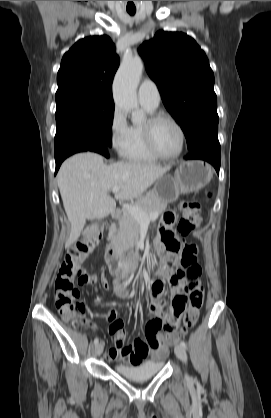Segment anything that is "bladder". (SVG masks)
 Instances as JSON below:
<instances>
[{
	"label": "bladder",
	"instance_id": "1",
	"mask_svg": "<svg viewBox=\"0 0 271 418\" xmlns=\"http://www.w3.org/2000/svg\"><path fill=\"white\" fill-rule=\"evenodd\" d=\"M163 365L164 363L162 360L145 361L137 365L120 363L115 366V371L128 380L143 382L157 375L162 370Z\"/></svg>",
	"mask_w": 271,
	"mask_h": 418
}]
</instances>
